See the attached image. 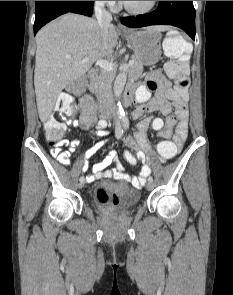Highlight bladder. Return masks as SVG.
Instances as JSON below:
<instances>
[{
	"instance_id": "31cf9c89",
	"label": "bladder",
	"mask_w": 233,
	"mask_h": 295,
	"mask_svg": "<svg viewBox=\"0 0 233 295\" xmlns=\"http://www.w3.org/2000/svg\"><path fill=\"white\" fill-rule=\"evenodd\" d=\"M122 203L119 210H125L135 206L140 201V192L132 188H125L121 190Z\"/></svg>"
}]
</instances>
